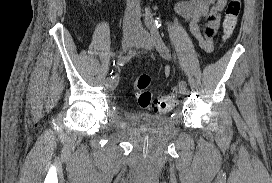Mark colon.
<instances>
[{"instance_id":"obj_1","label":"colon","mask_w":272,"mask_h":183,"mask_svg":"<svg viewBox=\"0 0 272 183\" xmlns=\"http://www.w3.org/2000/svg\"><path fill=\"white\" fill-rule=\"evenodd\" d=\"M241 9L240 0H229L226 10L225 19L223 22V37L226 39L233 33L238 16ZM151 83V77L147 74L138 76L134 81V89L139 105L146 109H153L159 113L170 111L177 103L175 93L163 95L160 97H153L152 93L148 90Z\"/></svg>"}]
</instances>
